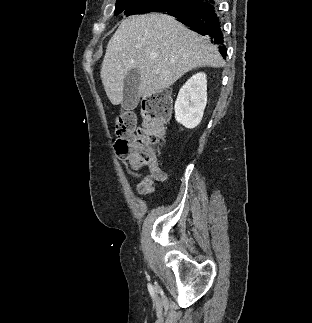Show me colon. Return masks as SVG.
I'll return each mask as SVG.
<instances>
[{"label": "colon", "mask_w": 312, "mask_h": 323, "mask_svg": "<svg viewBox=\"0 0 312 323\" xmlns=\"http://www.w3.org/2000/svg\"><path fill=\"white\" fill-rule=\"evenodd\" d=\"M167 93L158 91L150 98L151 107L143 124L137 125L133 110L119 114L114 123L117 137V158H130L137 167H157L155 148L163 142L167 122L162 105Z\"/></svg>", "instance_id": "obj_1"}]
</instances>
